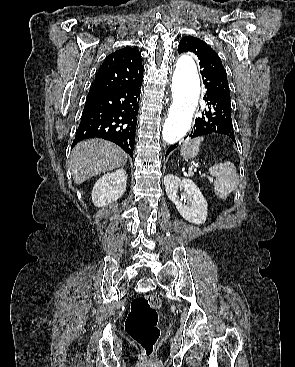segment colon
I'll return each mask as SVG.
<instances>
[{
  "instance_id": "colon-1",
  "label": "colon",
  "mask_w": 295,
  "mask_h": 367,
  "mask_svg": "<svg viewBox=\"0 0 295 367\" xmlns=\"http://www.w3.org/2000/svg\"><path fill=\"white\" fill-rule=\"evenodd\" d=\"M160 298L154 294L135 297L125 321V331L143 350L147 359L153 355L160 338L158 309Z\"/></svg>"
}]
</instances>
